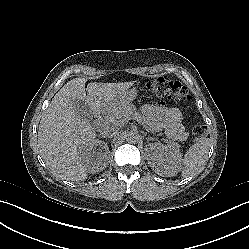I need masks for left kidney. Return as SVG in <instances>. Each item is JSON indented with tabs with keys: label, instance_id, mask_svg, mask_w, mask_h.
I'll list each match as a JSON object with an SVG mask.
<instances>
[{
	"label": "left kidney",
	"instance_id": "5707ae66",
	"mask_svg": "<svg viewBox=\"0 0 249 249\" xmlns=\"http://www.w3.org/2000/svg\"><path fill=\"white\" fill-rule=\"evenodd\" d=\"M155 150V157L157 159V166L160 168L164 173L169 172L171 169H173L172 162L170 161V157L173 154L172 151H168V147L161 145L160 143H155L154 145Z\"/></svg>",
	"mask_w": 249,
	"mask_h": 249
}]
</instances>
